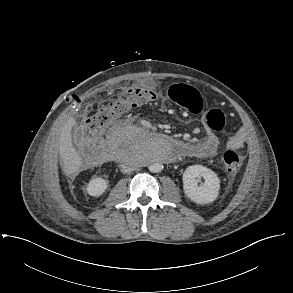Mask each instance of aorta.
<instances>
[{
    "label": "aorta",
    "mask_w": 293,
    "mask_h": 293,
    "mask_svg": "<svg viewBox=\"0 0 293 293\" xmlns=\"http://www.w3.org/2000/svg\"><path fill=\"white\" fill-rule=\"evenodd\" d=\"M151 152L155 156L162 157L167 153L170 143L168 140L162 137H153L150 142ZM149 171L158 173L162 171L163 165L160 162L152 163L149 167Z\"/></svg>",
    "instance_id": "1"
}]
</instances>
